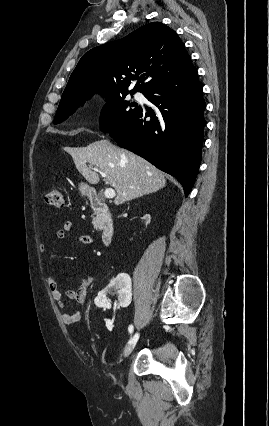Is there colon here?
<instances>
[{"label": "colon", "mask_w": 269, "mask_h": 426, "mask_svg": "<svg viewBox=\"0 0 269 426\" xmlns=\"http://www.w3.org/2000/svg\"><path fill=\"white\" fill-rule=\"evenodd\" d=\"M47 203L55 208H63L64 194L61 185H54L51 187L46 198Z\"/></svg>", "instance_id": "5ec220e1"}]
</instances>
